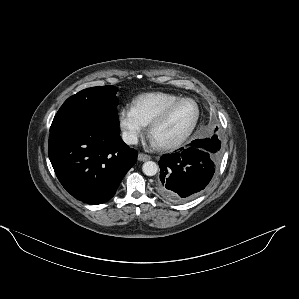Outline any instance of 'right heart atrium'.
Listing matches in <instances>:
<instances>
[{"label":"right heart atrium","instance_id":"1","mask_svg":"<svg viewBox=\"0 0 299 299\" xmlns=\"http://www.w3.org/2000/svg\"><path fill=\"white\" fill-rule=\"evenodd\" d=\"M118 124L124 140L129 144H136L146 129V124L137 116L132 106H126L120 110Z\"/></svg>","mask_w":299,"mask_h":299}]
</instances>
